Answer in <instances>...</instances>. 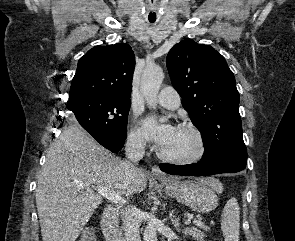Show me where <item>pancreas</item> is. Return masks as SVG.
I'll return each mask as SVG.
<instances>
[{
    "label": "pancreas",
    "mask_w": 295,
    "mask_h": 241,
    "mask_svg": "<svg viewBox=\"0 0 295 241\" xmlns=\"http://www.w3.org/2000/svg\"><path fill=\"white\" fill-rule=\"evenodd\" d=\"M200 228L203 229V230H205V231L209 230V227L208 226H205L204 224Z\"/></svg>",
    "instance_id": "cf45deb5"
}]
</instances>
